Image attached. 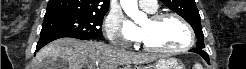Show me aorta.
<instances>
[{
	"label": "aorta",
	"instance_id": "1",
	"mask_svg": "<svg viewBox=\"0 0 246 69\" xmlns=\"http://www.w3.org/2000/svg\"><path fill=\"white\" fill-rule=\"evenodd\" d=\"M120 4L124 12L131 17L135 22L146 18V15L139 11L137 0H120Z\"/></svg>",
	"mask_w": 246,
	"mask_h": 69
}]
</instances>
